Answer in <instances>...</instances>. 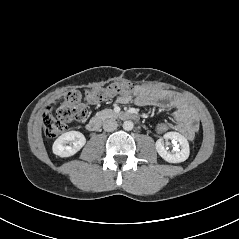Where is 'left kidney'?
Masks as SVG:
<instances>
[{"label":"left kidney","instance_id":"1","mask_svg":"<svg viewBox=\"0 0 239 239\" xmlns=\"http://www.w3.org/2000/svg\"><path fill=\"white\" fill-rule=\"evenodd\" d=\"M171 140L175 146V150L170 152L164 146V141ZM156 150L158 154L169 163H180L185 161L190 154L189 143L187 139L177 132H167L164 139L156 141Z\"/></svg>","mask_w":239,"mask_h":239}]
</instances>
